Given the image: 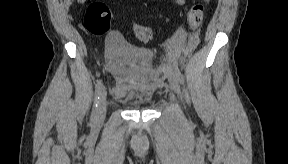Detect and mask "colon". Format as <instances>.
I'll return each mask as SVG.
<instances>
[{"instance_id": "5ec220e1", "label": "colon", "mask_w": 288, "mask_h": 164, "mask_svg": "<svg viewBox=\"0 0 288 164\" xmlns=\"http://www.w3.org/2000/svg\"><path fill=\"white\" fill-rule=\"evenodd\" d=\"M205 7L202 3L193 5L187 13V24L189 28L196 29L204 16ZM112 12L102 1H93L84 17V27L94 35L101 36L110 30ZM131 29L136 37L142 42L151 40V33L142 25L132 24Z\"/></svg>"}]
</instances>
